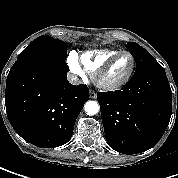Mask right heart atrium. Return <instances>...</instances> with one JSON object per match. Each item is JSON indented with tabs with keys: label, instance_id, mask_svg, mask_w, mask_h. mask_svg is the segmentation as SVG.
Returning a JSON list of instances; mask_svg holds the SVG:
<instances>
[{
	"label": "right heart atrium",
	"instance_id": "obj_1",
	"mask_svg": "<svg viewBox=\"0 0 178 178\" xmlns=\"http://www.w3.org/2000/svg\"><path fill=\"white\" fill-rule=\"evenodd\" d=\"M68 65L71 71L76 74L79 78L85 79V73L82 70L81 66L79 65L78 58L75 54H71L68 58Z\"/></svg>",
	"mask_w": 178,
	"mask_h": 178
}]
</instances>
